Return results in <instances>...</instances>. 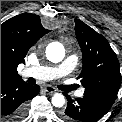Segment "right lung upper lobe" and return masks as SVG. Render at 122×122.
Here are the masks:
<instances>
[{
  "mask_svg": "<svg viewBox=\"0 0 122 122\" xmlns=\"http://www.w3.org/2000/svg\"><path fill=\"white\" fill-rule=\"evenodd\" d=\"M48 32L40 17L31 13L17 15L1 24V80L22 79L17 66L25 63L28 50Z\"/></svg>",
  "mask_w": 122,
  "mask_h": 122,
  "instance_id": "1",
  "label": "right lung upper lobe"
}]
</instances>
